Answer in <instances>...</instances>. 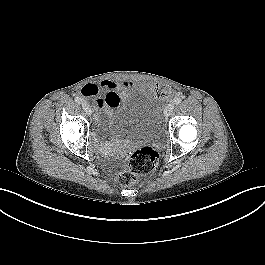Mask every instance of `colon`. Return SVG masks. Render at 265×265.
<instances>
[{
  "mask_svg": "<svg viewBox=\"0 0 265 265\" xmlns=\"http://www.w3.org/2000/svg\"><path fill=\"white\" fill-rule=\"evenodd\" d=\"M159 154L150 147L145 146L137 149L124 160L122 171L118 175V183L123 186L131 185L140 176L149 174L158 165Z\"/></svg>",
  "mask_w": 265,
  "mask_h": 265,
  "instance_id": "colon-1",
  "label": "colon"
}]
</instances>
